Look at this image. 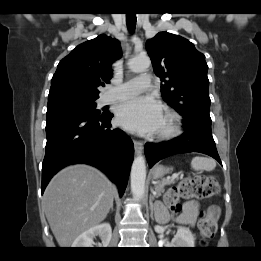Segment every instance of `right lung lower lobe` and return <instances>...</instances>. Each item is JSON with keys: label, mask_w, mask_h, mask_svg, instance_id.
Returning <instances> with one entry per match:
<instances>
[{"label": "right lung lower lobe", "mask_w": 261, "mask_h": 261, "mask_svg": "<svg viewBox=\"0 0 261 261\" xmlns=\"http://www.w3.org/2000/svg\"><path fill=\"white\" fill-rule=\"evenodd\" d=\"M112 117L110 113L92 116L73 112L47 117L42 193L60 169L86 163L103 171L118 185L120 196L123 195L134 146L122 130L111 128Z\"/></svg>", "instance_id": "98d812e1"}]
</instances>
